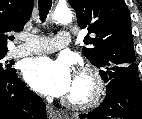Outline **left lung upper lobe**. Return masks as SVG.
Returning <instances> with one entry per match:
<instances>
[{
    "label": "left lung upper lobe",
    "instance_id": "left-lung-upper-lobe-1",
    "mask_svg": "<svg viewBox=\"0 0 142 119\" xmlns=\"http://www.w3.org/2000/svg\"><path fill=\"white\" fill-rule=\"evenodd\" d=\"M80 28L88 33L82 53L102 69L105 82L127 73H138L131 20L124 0H69Z\"/></svg>",
    "mask_w": 142,
    "mask_h": 119
}]
</instances>
